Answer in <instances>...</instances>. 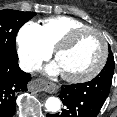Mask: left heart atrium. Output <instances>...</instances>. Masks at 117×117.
I'll return each mask as SVG.
<instances>
[{"label":"left heart atrium","instance_id":"1","mask_svg":"<svg viewBox=\"0 0 117 117\" xmlns=\"http://www.w3.org/2000/svg\"><path fill=\"white\" fill-rule=\"evenodd\" d=\"M46 72L50 75H57V74L61 73V70H60L57 62H53L46 67Z\"/></svg>","mask_w":117,"mask_h":117}]
</instances>
